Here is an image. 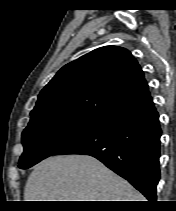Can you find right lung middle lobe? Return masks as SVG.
<instances>
[{
  "label": "right lung middle lobe",
  "mask_w": 176,
  "mask_h": 211,
  "mask_svg": "<svg viewBox=\"0 0 176 211\" xmlns=\"http://www.w3.org/2000/svg\"><path fill=\"white\" fill-rule=\"evenodd\" d=\"M102 119L61 110L31 115V120L22 133L24 152L19 160V168H29L53 155Z\"/></svg>",
  "instance_id": "1"
}]
</instances>
